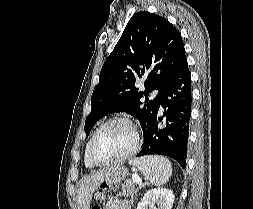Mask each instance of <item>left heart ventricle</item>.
<instances>
[{
	"mask_svg": "<svg viewBox=\"0 0 253 209\" xmlns=\"http://www.w3.org/2000/svg\"><path fill=\"white\" fill-rule=\"evenodd\" d=\"M134 134L129 125L114 122L107 125L98 135L94 155L99 161H108L120 157L133 145Z\"/></svg>",
	"mask_w": 253,
	"mask_h": 209,
	"instance_id": "obj_1",
	"label": "left heart ventricle"
}]
</instances>
